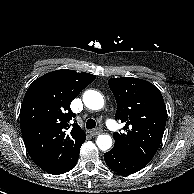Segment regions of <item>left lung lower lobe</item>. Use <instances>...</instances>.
Returning a JSON list of instances; mask_svg holds the SVG:
<instances>
[{
  "mask_svg": "<svg viewBox=\"0 0 194 194\" xmlns=\"http://www.w3.org/2000/svg\"><path fill=\"white\" fill-rule=\"evenodd\" d=\"M107 166L121 174H132L144 168L149 162L128 154L119 148H113L104 154Z\"/></svg>",
  "mask_w": 194,
  "mask_h": 194,
  "instance_id": "1",
  "label": "left lung lower lobe"
}]
</instances>
